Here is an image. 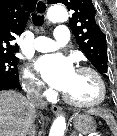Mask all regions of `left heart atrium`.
Here are the masks:
<instances>
[{
    "instance_id": "39dd6f15",
    "label": "left heart atrium",
    "mask_w": 117,
    "mask_h": 136,
    "mask_svg": "<svg viewBox=\"0 0 117 136\" xmlns=\"http://www.w3.org/2000/svg\"><path fill=\"white\" fill-rule=\"evenodd\" d=\"M37 68L49 85L64 92L70 86L76 72L72 60L61 54L42 56L37 61Z\"/></svg>"
}]
</instances>
